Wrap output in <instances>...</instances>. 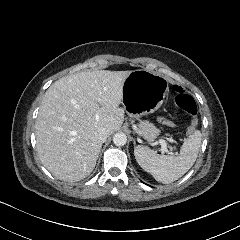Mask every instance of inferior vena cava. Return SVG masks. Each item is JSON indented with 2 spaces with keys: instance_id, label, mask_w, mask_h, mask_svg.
Listing matches in <instances>:
<instances>
[{
  "instance_id": "1",
  "label": "inferior vena cava",
  "mask_w": 240,
  "mask_h": 240,
  "mask_svg": "<svg viewBox=\"0 0 240 240\" xmlns=\"http://www.w3.org/2000/svg\"><path fill=\"white\" fill-rule=\"evenodd\" d=\"M109 135H110V132L108 130H106L104 128H100V129H98L95 138L97 141L104 143Z\"/></svg>"
}]
</instances>
